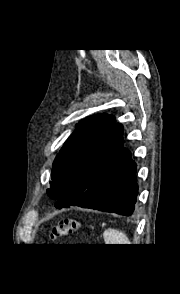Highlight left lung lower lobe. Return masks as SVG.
I'll return each mask as SVG.
<instances>
[{"label": "left lung lower lobe", "instance_id": "0a47b994", "mask_svg": "<svg viewBox=\"0 0 180 294\" xmlns=\"http://www.w3.org/2000/svg\"><path fill=\"white\" fill-rule=\"evenodd\" d=\"M122 134L123 126L117 124L56 208L73 206L132 215L138 192L137 167L123 145Z\"/></svg>", "mask_w": 180, "mask_h": 294}]
</instances>
